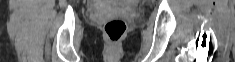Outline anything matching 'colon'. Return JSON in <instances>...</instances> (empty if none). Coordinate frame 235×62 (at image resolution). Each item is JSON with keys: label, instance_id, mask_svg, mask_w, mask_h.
Returning <instances> with one entry per match:
<instances>
[{"label": "colon", "instance_id": "5ec220e1", "mask_svg": "<svg viewBox=\"0 0 235 62\" xmlns=\"http://www.w3.org/2000/svg\"><path fill=\"white\" fill-rule=\"evenodd\" d=\"M126 23L123 19L115 18L108 20L104 26V33L111 45H116L126 32Z\"/></svg>", "mask_w": 235, "mask_h": 62}]
</instances>
